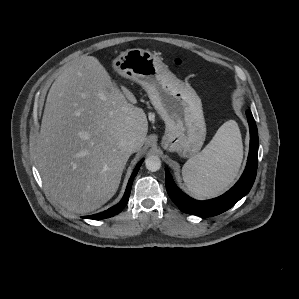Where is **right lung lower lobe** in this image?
<instances>
[{
	"label": "right lung lower lobe",
	"instance_id": "obj_1",
	"mask_svg": "<svg viewBox=\"0 0 299 299\" xmlns=\"http://www.w3.org/2000/svg\"><path fill=\"white\" fill-rule=\"evenodd\" d=\"M142 162H143V159L135 167V169H134V171H133V173L131 175V178H130V180L128 182L125 194H124L122 200L117 205L109 208L108 210H106L104 212H101V213H98V214H95V215H91V216H85L83 218L98 220V219H104V218L112 217V216L118 214L119 212H121L122 209L126 206V204L128 202V199H129V196H130L132 182L134 180V177L138 173V170H139Z\"/></svg>",
	"mask_w": 299,
	"mask_h": 299
}]
</instances>
